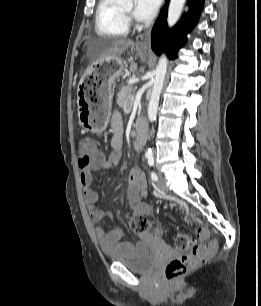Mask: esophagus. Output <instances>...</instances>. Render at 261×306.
Wrapping results in <instances>:
<instances>
[{
	"mask_svg": "<svg viewBox=\"0 0 261 306\" xmlns=\"http://www.w3.org/2000/svg\"><path fill=\"white\" fill-rule=\"evenodd\" d=\"M150 37H151V28L145 31L138 41V47L143 50L150 49Z\"/></svg>",
	"mask_w": 261,
	"mask_h": 306,
	"instance_id": "obj_1",
	"label": "esophagus"
}]
</instances>
